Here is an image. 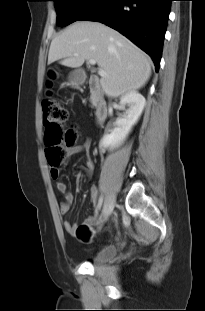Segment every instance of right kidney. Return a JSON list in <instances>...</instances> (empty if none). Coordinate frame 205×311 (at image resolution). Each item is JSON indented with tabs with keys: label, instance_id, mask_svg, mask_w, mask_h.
<instances>
[{
	"label": "right kidney",
	"instance_id": "obj_1",
	"mask_svg": "<svg viewBox=\"0 0 205 311\" xmlns=\"http://www.w3.org/2000/svg\"><path fill=\"white\" fill-rule=\"evenodd\" d=\"M126 104L129 105V109L122 118L117 119L116 127L111 131V133L104 135L100 143L101 147L114 148L125 140L132 127L140 118L146 105V100L137 91H132L120 99L121 108H123Z\"/></svg>",
	"mask_w": 205,
	"mask_h": 311
}]
</instances>
